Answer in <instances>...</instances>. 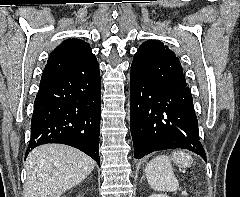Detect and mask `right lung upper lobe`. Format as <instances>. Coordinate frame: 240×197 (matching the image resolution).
Returning <instances> with one entry per match:
<instances>
[{"mask_svg": "<svg viewBox=\"0 0 240 197\" xmlns=\"http://www.w3.org/2000/svg\"><path fill=\"white\" fill-rule=\"evenodd\" d=\"M98 67V62L88 43L67 39L50 54L42 77L82 73Z\"/></svg>", "mask_w": 240, "mask_h": 197, "instance_id": "1", "label": "right lung upper lobe"}]
</instances>
